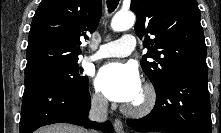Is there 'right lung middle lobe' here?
Here are the masks:
<instances>
[{"instance_id": "1", "label": "right lung middle lobe", "mask_w": 221, "mask_h": 133, "mask_svg": "<svg viewBox=\"0 0 221 133\" xmlns=\"http://www.w3.org/2000/svg\"><path fill=\"white\" fill-rule=\"evenodd\" d=\"M82 70L77 62L69 64H57L44 67L33 74H45L59 78L72 87L83 86L88 83V77L82 76Z\"/></svg>"}]
</instances>
